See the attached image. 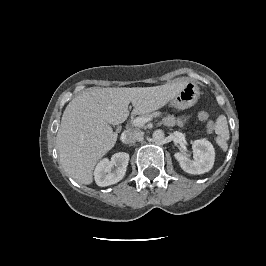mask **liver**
<instances>
[{"instance_id": "1", "label": "liver", "mask_w": 266, "mask_h": 266, "mask_svg": "<svg viewBox=\"0 0 266 266\" xmlns=\"http://www.w3.org/2000/svg\"><path fill=\"white\" fill-rule=\"evenodd\" d=\"M185 82L154 87H91L67 105L57 133V149L65 172L77 182H93L97 162L110 151L118 134L112 125L123 123L133 105L135 115L155 111L167 104Z\"/></svg>"}]
</instances>
